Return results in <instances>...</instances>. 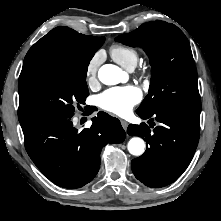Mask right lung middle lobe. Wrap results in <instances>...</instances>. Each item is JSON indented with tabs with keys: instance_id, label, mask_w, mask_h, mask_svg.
I'll return each instance as SVG.
<instances>
[{
	"instance_id": "dd1d6c3e",
	"label": "right lung middle lobe",
	"mask_w": 221,
	"mask_h": 221,
	"mask_svg": "<svg viewBox=\"0 0 221 221\" xmlns=\"http://www.w3.org/2000/svg\"><path fill=\"white\" fill-rule=\"evenodd\" d=\"M93 56L89 51L78 52L26 83L19 92L20 123L55 114L73 115L75 104H84L89 95L86 75Z\"/></svg>"
}]
</instances>
